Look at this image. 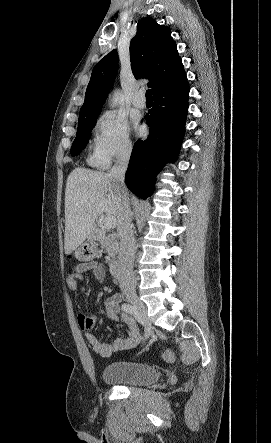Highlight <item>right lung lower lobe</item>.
<instances>
[{
  "label": "right lung lower lobe",
  "mask_w": 271,
  "mask_h": 443,
  "mask_svg": "<svg viewBox=\"0 0 271 443\" xmlns=\"http://www.w3.org/2000/svg\"><path fill=\"white\" fill-rule=\"evenodd\" d=\"M153 97L154 107L145 116L149 136L135 143L125 177L128 188L142 199L152 193L156 174L163 165L177 158L188 111L187 78Z\"/></svg>",
  "instance_id": "98d812e1"
}]
</instances>
